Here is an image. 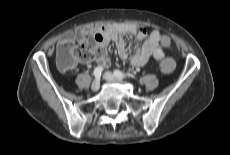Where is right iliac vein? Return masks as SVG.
<instances>
[{
    "mask_svg": "<svg viewBox=\"0 0 230 155\" xmlns=\"http://www.w3.org/2000/svg\"><path fill=\"white\" fill-rule=\"evenodd\" d=\"M99 88H100V81L96 79L91 85V90L96 92L99 90Z\"/></svg>",
    "mask_w": 230,
    "mask_h": 155,
    "instance_id": "1",
    "label": "right iliac vein"
}]
</instances>
